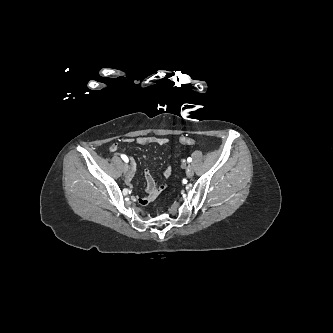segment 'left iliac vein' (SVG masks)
<instances>
[{
    "instance_id": "obj_1",
    "label": "left iliac vein",
    "mask_w": 333,
    "mask_h": 333,
    "mask_svg": "<svg viewBox=\"0 0 333 333\" xmlns=\"http://www.w3.org/2000/svg\"><path fill=\"white\" fill-rule=\"evenodd\" d=\"M186 174H187V177H189V178H191L194 175L193 168L190 165H188L186 167Z\"/></svg>"
}]
</instances>
